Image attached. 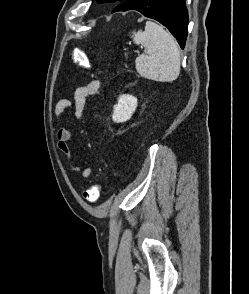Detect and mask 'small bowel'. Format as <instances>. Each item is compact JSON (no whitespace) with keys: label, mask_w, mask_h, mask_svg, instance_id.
Returning a JSON list of instances; mask_svg holds the SVG:
<instances>
[{"label":"small bowel","mask_w":249,"mask_h":294,"mask_svg":"<svg viewBox=\"0 0 249 294\" xmlns=\"http://www.w3.org/2000/svg\"><path fill=\"white\" fill-rule=\"evenodd\" d=\"M100 88V81L97 79L91 80L85 84L77 86L73 92V99H61L55 106V117L59 122L61 115L67 109L72 110L74 118L81 120L86 107L87 99L95 95ZM73 133L68 128H59L56 132L57 146L60 152H62L70 161L73 171L81 172L83 178L88 179L92 175V168L82 167L74 162V157L68 142L71 140Z\"/></svg>","instance_id":"c3829d8e"}]
</instances>
